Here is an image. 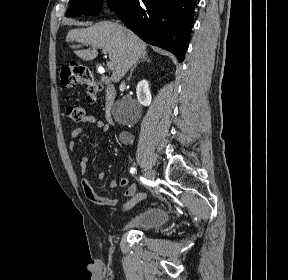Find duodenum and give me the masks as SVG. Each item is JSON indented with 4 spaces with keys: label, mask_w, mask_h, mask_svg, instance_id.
<instances>
[{
    "label": "duodenum",
    "mask_w": 288,
    "mask_h": 280,
    "mask_svg": "<svg viewBox=\"0 0 288 280\" xmlns=\"http://www.w3.org/2000/svg\"><path fill=\"white\" fill-rule=\"evenodd\" d=\"M105 82L107 88H106V97H105V106H106V115L108 120H112L111 118V108L113 106L115 97H116V90L115 87L109 82V80L106 77L102 78Z\"/></svg>",
    "instance_id": "1"
}]
</instances>
